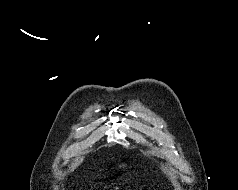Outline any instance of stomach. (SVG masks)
Returning a JSON list of instances; mask_svg holds the SVG:
<instances>
[{
  "mask_svg": "<svg viewBox=\"0 0 238 190\" xmlns=\"http://www.w3.org/2000/svg\"><path fill=\"white\" fill-rule=\"evenodd\" d=\"M126 167H127V165L125 163H121V164L118 165V169H120V170H123Z\"/></svg>",
  "mask_w": 238,
  "mask_h": 190,
  "instance_id": "1",
  "label": "stomach"
}]
</instances>
